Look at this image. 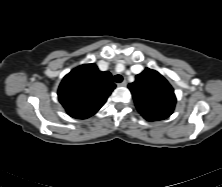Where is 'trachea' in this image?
<instances>
[{
  "label": "trachea",
  "instance_id": "trachea-1",
  "mask_svg": "<svg viewBox=\"0 0 222 187\" xmlns=\"http://www.w3.org/2000/svg\"><path fill=\"white\" fill-rule=\"evenodd\" d=\"M114 82L116 83H121L123 81V77L122 75H115L114 78H113Z\"/></svg>",
  "mask_w": 222,
  "mask_h": 187
}]
</instances>
